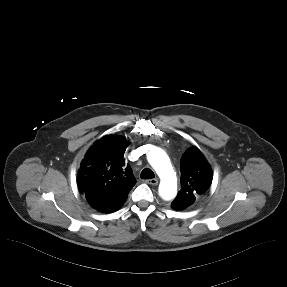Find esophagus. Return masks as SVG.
<instances>
[{
  "label": "esophagus",
  "mask_w": 287,
  "mask_h": 287,
  "mask_svg": "<svg viewBox=\"0 0 287 287\" xmlns=\"http://www.w3.org/2000/svg\"><path fill=\"white\" fill-rule=\"evenodd\" d=\"M147 184H150V185H157L158 184V180L157 179H148L145 181Z\"/></svg>",
  "instance_id": "1"
}]
</instances>
